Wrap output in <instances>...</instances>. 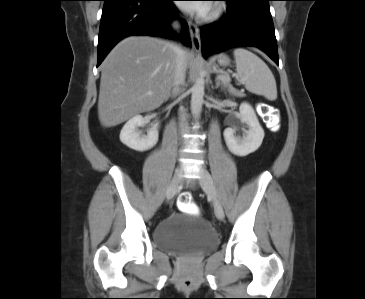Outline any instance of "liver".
Masks as SVG:
<instances>
[{"label":"liver","mask_w":365,"mask_h":299,"mask_svg":"<svg viewBox=\"0 0 365 299\" xmlns=\"http://www.w3.org/2000/svg\"><path fill=\"white\" fill-rule=\"evenodd\" d=\"M183 55L185 64L189 63L191 53L186 50ZM176 57V47L160 38L132 36L118 43L101 65V124L119 125L167 101L174 85Z\"/></svg>","instance_id":"6515ba94"}]
</instances>
